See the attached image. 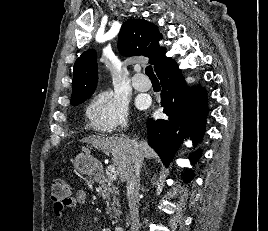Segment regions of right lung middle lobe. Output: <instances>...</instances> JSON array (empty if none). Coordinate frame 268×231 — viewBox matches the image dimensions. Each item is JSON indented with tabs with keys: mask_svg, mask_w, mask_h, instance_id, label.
<instances>
[{
	"mask_svg": "<svg viewBox=\"0 0 268 231\" xmlns=\"http://www.w3.org/2000/svg\"><path fill=\"white\" fill-rule=\"evenodd\" d=\"M83 101H85V100H81V101L75 102V103H73L72 105L76 106V105L82 103Z\"/></svg>",
	"mask_w": 268,
	"mask_h": 231,
	"instance_id": "right-lung-middle-lobe-1",
	"label": "right lung middle lobe"
}]
</instances>
